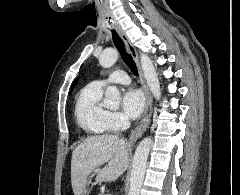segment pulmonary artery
Listing matches in <instances>:
<instances>
[{"mask_svg":"<svg viewBox=\"0 0 240 195\" xmlns=\"http://www.w3.org/2000/svg\"><path fill=\"white\" fill-rule=\"evenodd\" d=\"M125 71H115L114 76H110L108 79L104 81L105 84L116 82V83H129L130 79L128 75H125Z\"/></svg>","mask_w":240,"mask_h":195,"instance_id":"obj_1","label":"pulmonary artery"}]
</instances>
